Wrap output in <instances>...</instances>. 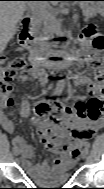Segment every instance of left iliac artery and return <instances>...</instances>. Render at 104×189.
Here are the masks:
<instances>
[{"instance_id": "left-iliac-artery-1", "label": "left iliac artery", "mask_w": 104, "mask_h": 189, "mask_svg": "<svg viewBox=\"0 0 104 189\" xmlns=\"http://www.w3.org/2000/svg\"><path fill=\"white\" fill-rule=\"evenodd\" d=\"M89 147H90V144H89V143H86V144H85V149L88 150Z\"/></svg>"}]
</instances>
